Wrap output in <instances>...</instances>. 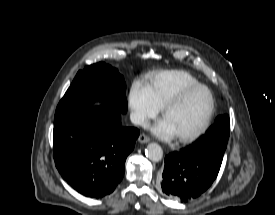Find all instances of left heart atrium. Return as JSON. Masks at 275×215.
Listing matches in <instances>:
<instances>
[{"label": "left heart atrium", "instance_id": "left-heart-atrium-1", "mask_svg": "<svg viewBox=\"0 0 275 215\" xmlns=\"http://www.w3.org/2000/svg\"><path fill=\"white\" fill-rule=\"evenodd\" d=\"M152 130L157 136H159L161 138L169 139V138H172L175 136L173 129L171 128V126L165 119H163L159 123H157L152 128Z\"/></svg>", "mask_w": 275, "mask_h": 215}]
</instances>
